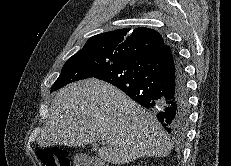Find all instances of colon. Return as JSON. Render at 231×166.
<instances>
[{
  "label": "colon",
  "instance_id": "colon-1",
  "mask_svg": "<svg viewBox=\"0 0 231 166\" xmlns=\"http://www.w3.org/2000/svg\"><path fill=\"white\" fill-rule=\"evenodd\" d=\"M38 158L44 166H70V160L66 151L61 148H48L38 152ZM83 166H104L95 162Z\"/></svg>",
  "mask_w": 231,
  "mask_h": 166
}]
</instances>
